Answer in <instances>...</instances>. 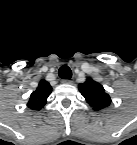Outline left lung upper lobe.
<instances>
[{
	"mask_svg": "<svg viewBox=\"0 0 137 145\" xmlns=\"http://www.w3.org/2000/svg\"><path fill=\"white\" fill-rule=\"evenodd\" d=\"M78 88L88 104L95 111L104 109L111 103V98L105 92L103 86L91 78H88L84 83L79 84Z\"/></svg>",
	"mask_w": 137,
	"mask_h": 145,
	"instance_id": "1",
	"label": "left lung upper lobe"
}]
</instances>
